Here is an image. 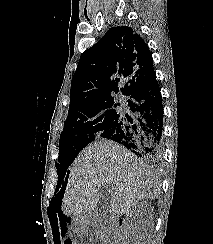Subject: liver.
Wrapping results in <instances>:
<instances>
[{"mask_svg":"<svg viewBox=\"0 0 213 244\" xmlns=\"http://www.w3.org/2000/svg\"><path fill=\"white\" fill-rule=\"evenodd\" d=\"M104 188L111 194L114 219L129 213L140 200L160 195L158 176L151 167L121 145L99 141L88 145L70 169L63 214L92 215Z\"/></svg>","mask_w":213,"mask_h":244,"instance_id":"liver-1","label":"liver"}]
</instances>
